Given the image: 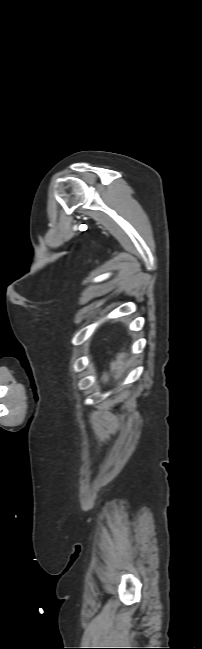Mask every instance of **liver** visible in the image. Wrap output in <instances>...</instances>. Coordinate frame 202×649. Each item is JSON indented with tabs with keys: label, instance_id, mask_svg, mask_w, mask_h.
I'll use <instances>...</instances> for the list:
<instances>
[{
	"label": "liver",
	"instance_id": "6515ba94",
	"mask_svg": "<svg viewBox=\"0 0 202 649\" xmlns=\"http://www.w3.org/2000/svg\"><path fill=\"white\" fill-rule=\"evenodd\" d=\"M126 357L127 354L124 352L117 355L116 360L110 363V375L105 374L102 377V380L104 382H107L110 376H112L115 380H119L121 378V376L123 375V373L125 372L128 366V363L126 362Z\"/></svg>",
	"mask_w": 202,
	"mask_h": 649
}]
</instances>
